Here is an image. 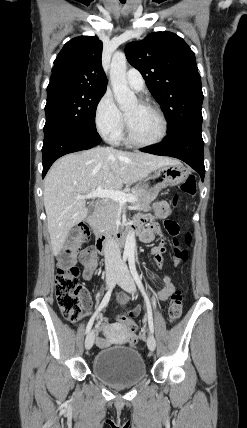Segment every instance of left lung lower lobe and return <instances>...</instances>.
<instances>
[{
    "label": "left lung lower lobe",
    "mask_w": 247,
    "mask_h": 428,
    "mask_svg": "<svg viewBox=\"0 0 247 428\" xmlns=\"http://www.w3.org/2000/svg\"><path fill=\"white\" fill-rule=\"evenodd\" d=\"M203 149L201 125L194 124L169 134L162 144L143 148L141 151L178 158L197 171L203 181L205 176Z\"/></svg>",
    "instance_id": "0a47b994"
}]
</instances>
